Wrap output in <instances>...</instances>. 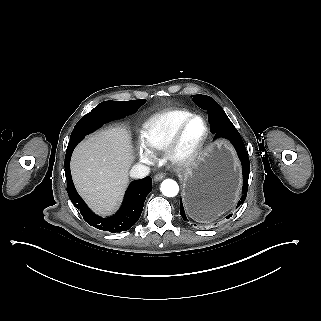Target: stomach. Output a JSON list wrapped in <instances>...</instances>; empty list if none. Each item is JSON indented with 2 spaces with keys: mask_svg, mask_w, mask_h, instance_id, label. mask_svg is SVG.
<instances>
[{
  "mask_svg": "<svg viewBox=\"0 0 321 321\" xmlns=\"http://www.w3.org/2000/svg\"><path fill=\"white\" fill-rule=\"evenodd\" d=\"M183 203L196 221L204 212L234 205L241 184V168L232 146L217 140L208 145L184 170Z\"/></svg>",
  "mask_w": 321,
  "mask_h": 321,
  "instance_id": "obj_1",
  "label": "stomach"
}]
</instances>
